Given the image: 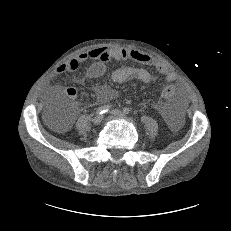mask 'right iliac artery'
<instances>
[{
    "instance_id": "obj_1",
    "label": "right iliac artery",
    "mask_w": 231,
    "mask_h": 231,
    "mask_svg": "<svg viewBox=\"0 0 231 231\" xmlns=\"http://www.w3.org/2000/svg\"><path fill=\"white\" fill-rule=\"evenodd\" d=\"M111 106L110 105H103L101 107H98L96 110V114H103L105 112H108L110 110Z\"/></svg>"
}]
</instances>
